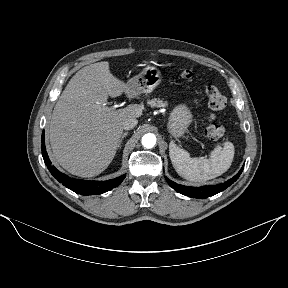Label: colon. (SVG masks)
<instances>
[{
	"mask_svg": "<svg viewBox=\"0 0 288 288\" xmlns=\"http://www.w3.org/2000/svg\"><path fill=\"white\" fill-rule=\"evenodd\" d=\"M184 79L190 80L194 77L191 70H184L182 72ZM207 105L209 114L205 125V134L207 138L212 141L223 140L225 135L224 125L217 120V113L222 111L226 106L225 96L214 86L206 89Z\"/></svg>",
	"mask_w": 288,
	"mask_h": 288,
	"instance_id": "5ec220e1",
	"label": "colon"
}]
</instances>
